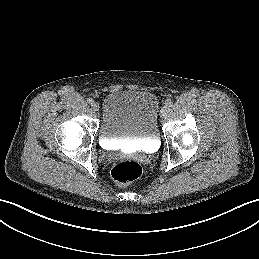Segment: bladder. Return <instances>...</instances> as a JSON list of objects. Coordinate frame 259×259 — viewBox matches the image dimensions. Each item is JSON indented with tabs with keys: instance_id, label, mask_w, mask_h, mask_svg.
I'll list each match as a JSON object with an SVG mask.
<instances>
[{
	"instance_id": "obj_1",
	"label": "bladder",
	"mask_w": 259,
	"mask_h": 259,
	"mask_svg": "<svg viewBox=\"0 0 259 259\" xmlns=\"http://www.w3.org/2000/svg\"><path fill=\"white\" fill-rule=\"evenodd\" d=\"M159 102L143 90H120L107 94L102 103L98 130L100 141L147 145L158 139Z\"/></svg>"
}]
</instances>
